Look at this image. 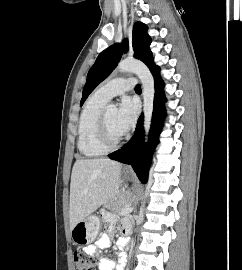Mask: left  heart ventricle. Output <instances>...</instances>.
Segmentation results:
<instances>
[{"label": "left heart ventricle", "instance_id": "b2bd125f", "mask_svg": "<svg viewBox=\"0 0 242 270\" xmlns=\"http://www.w3.org/2000/svg\"><path fill=\"white\" fill-rule=\"evenodd\" d=\"M107 123L112 140L119 139L125 132L119 127L117 122V110H107Z\"/></svg>", "mask_w": 242, "mask_h": 270}]
</instances>
